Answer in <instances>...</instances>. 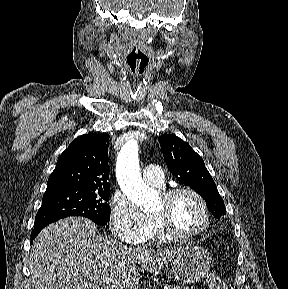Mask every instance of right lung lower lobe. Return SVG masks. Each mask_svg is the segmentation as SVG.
<instances>
[{"instance_id":"98d812e1","label":"right lung lower lobe","mask_w":288,"mask_h":289,"mask_svg":"<svg viewBox=\"0 0 288 289\" xmlns=\"http://www.w3.org/2000/svg\"><path fill=\"white\" fill-rule=\"evenodd\" d=\"M45 226H46V225L34 227V230H33L32 233H31V241L38 235V233H39Z\"/></svg>"}]
</instances>
